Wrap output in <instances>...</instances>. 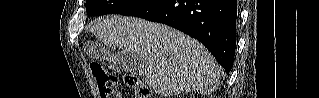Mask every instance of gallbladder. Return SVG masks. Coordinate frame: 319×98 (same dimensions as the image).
I'll list each match as a JSON object with an SVG mask.
<instances>
[{
    "mask_svg": "<svg viewBox=\"0 0 319 98\" xmlns=\"http://www.w3.org/2000/svg\"><path fill=\"white\" fill-rule=\"evenodd\" d=\"M87 53L93 58L100 57L103 61L118 65L126 72L137 73L141 68L140 60L128 51L120 50L117 53H113L104 47L102 49L95 48V50H87Z\"/></svg>",
    "mask_w": 319,
    "mask_h": 98,
    "instance_id": "obj_1",
    "label": "gallbladder"
}]
</instances>
